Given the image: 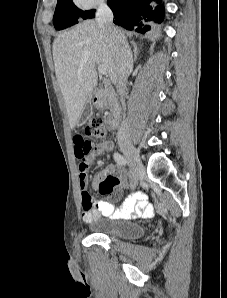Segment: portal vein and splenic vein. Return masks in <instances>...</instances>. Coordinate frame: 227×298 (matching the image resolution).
Here are the masks:
<instances>
[{"mask_svg":"<svg viewBox=\"0 0 227 298\" xmlns=\"http://www.w3.org/2000/svg\"><path fill=\"white\" fill-rule=\"evenodd\" d=\"M98 71H99V73L102 74V75H107V68H106V66H104V65H99V66H98Z\"/></svg>","mask_w":227,"mask_h":298,"instance_id":"obj_1","label":"portal vein and splenic vein"}]
</instances>
